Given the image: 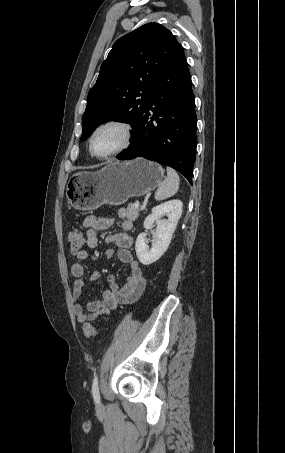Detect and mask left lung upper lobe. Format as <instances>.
I'll use <instances>...</instances> for the list:
<instances>
[{"mask_svg": "<svg viewBox=\"0 0 285 453\" xmlns=\"http://www.w3.org/2000/svg\"><path fill=\"white\" fill-rule=\"evenodd\" d=\"M179 46L174 35L158 23L145 24L118 39L88 94L81 140L111 120L134 128Z\"/></svg>", "mask_w": 285, "mask_h": 453, "instance_id": "obj_1", "label": "left lung upper lobe"}]
</instances>
